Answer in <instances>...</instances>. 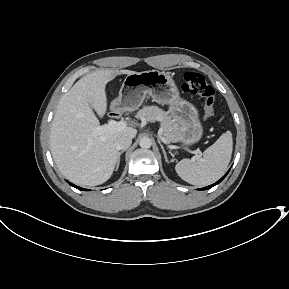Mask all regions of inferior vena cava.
<instances>
[{
  "instance_id": "602c4592",
  "label": "inferior vena cava",
  "mask_w": 289,
  "mask_h": 289,
  "mask_svg": "<svg viewBox=\"0 0 289 289\" xmlns=\"http://www.w3.org/2000/svg\"><path fill=\"white\" fill-rule=\"evenodd\" d=\"M132 143V138L129 136H121L117 139L116 146L118 149H127Z\"/></svg>"
}]
</instances>
